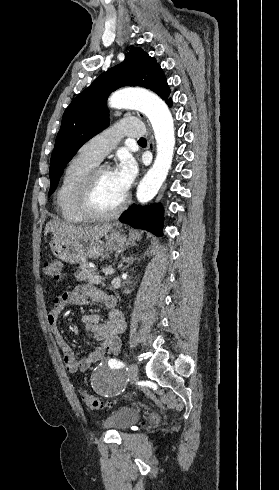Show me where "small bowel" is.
Returning a JSON list of instances; mask_svg holds the SVG:
<instances>
[{"label":"small bowel","instance_id":"1","mask_svg":"<svg viewBox=\"0 0 279 490\" xmlns=\"http://www.w3.org/2000/svg\"><path fill=\"white\" fill-rule=\"evenodd\" d=\"M88 304H102L107 309V317L103 322L98 313H89L81 317L85 331L98 341V346L87 357L77 360L74 351L65 341L59 316L66 306ZM47 322L57 345L63 352L64 364L70 372L86 371L107 353L117 354L121 348L120 335L126 327L123 314L116 308L115 298L91 285H81L56 296L48 313Z\"/></svg>","mask_w":279,"mask_h":490}]
</instances>
